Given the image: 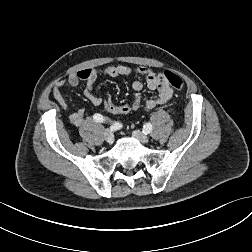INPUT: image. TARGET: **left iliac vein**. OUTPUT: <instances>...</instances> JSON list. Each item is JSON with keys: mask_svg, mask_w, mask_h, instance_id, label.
<instances>
[{"mask_svg": "<svg viewBox=\"0 0 252 252\" xmlns=\"http://www.w3.org/2000/svg\"><path fill=\"white\" fill-rule=\"evenodd\" d=\"M132 135H133L134 138H136L137 140H139L143 144H146V143L149 142V137L147 135L143 134L139 130L133 131Z\"/></svg>", "mask_w": 252, "mask_h": 252, "instance_id": "obj_1", "label": "left iliac vein"}]
</instances>
